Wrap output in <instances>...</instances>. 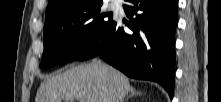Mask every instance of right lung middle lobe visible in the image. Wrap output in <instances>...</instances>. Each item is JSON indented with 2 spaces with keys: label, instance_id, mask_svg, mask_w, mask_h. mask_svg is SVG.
I'll return each instance as SVG.
<instances>
[{
  "label": "right lung middle lobe",
  "instance_id": "dd1d6c3e",
  "mask_svg": "<svg viewBox=\"0 0 221 102\" xmlns=\"http://www.w3.org/2000/svg\"><path fill=\"white\" fill-rule=\"evenodd\" d=\"M102 0L76 3L45 21L41 68L75 60L113 23L112 13H102Z\"/></svg>",
  "mask_w": 221,
  "mask_h": 102
}]
</instances>
